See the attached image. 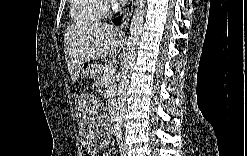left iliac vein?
<instances>
[{"instance_id":"4c4485c4","label":"left iliac vein","mask_w":247,"mask_h":156,"mask_svg":"<svg viewBox=\"0 0 247 156\" xmlns=\"http://www.w3.org/2000/svg\"><path fill=\"white\" fill-rule=\"evenodd\" d=\"M121 155L126 156L124 144L121 145Z\"/></svg>"}]
</instances>
